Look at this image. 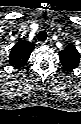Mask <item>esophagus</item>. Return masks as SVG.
Returning a JSON list of instances; mask_svg holds the SVG:
<instances>
[{"instance_id":"obj_1","label":"esophagus","mask_w":81,"mask_h":124,"mask_svg":"<svg viewBox=\"0 0 81 124\" xmlns=\"http://www.w3.org/2000/svg\"><path fill=\"white\" fill-rule=\"evenodd\" d=\"M51 44H52V40L50 38H48L47 40L41 43V45L43 46H51Z\"/></svg>"}]
</instances>
